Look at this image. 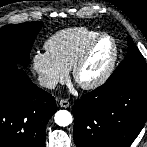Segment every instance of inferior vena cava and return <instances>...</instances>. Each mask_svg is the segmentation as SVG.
Returning <instances> with one entry per match:
<instances>
[{
	"label": "inferior vena cava",
	"instance_id": "602c4592",
	"mask_svg": "<svg viewBox=\"0 0 147 147\" xmlns=\"http://www.w3.org/2000/svg\"><path fill=\"white\" fill-rule=\"evenodd\" d=\"M38 82L42 87H45L48 89H54L57 85L56 81H54L46 76H39Z\"/></svg>",
	"mask_w": 147,
	"mask_h": 147
}]
</instances>
